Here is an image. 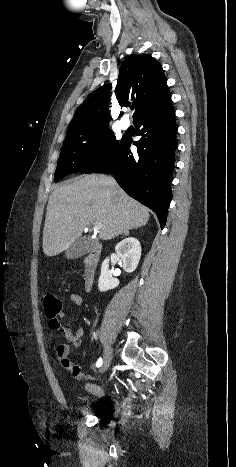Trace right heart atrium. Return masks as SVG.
<instances>
[{"label": "right heart atrium", "mask_w": 236, "mask_h": 467, "mask_svg": "<svg viewBox=\"0 0 236 467\" xmlns=\"http://www.w3.org/2000/svg\"><path fill=\"white\" fill-rule=\"evenodd\" d=\"M101 149H102L101 144L95 143V144L92 146V154H93L94 156H97V155L101 152Z\"/></svg>", "instance_id": "d8ad5b80"}]
</instances>
